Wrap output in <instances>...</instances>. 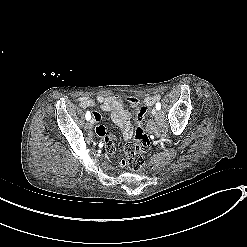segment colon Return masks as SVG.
I'll return each mask as SVG.
<instances>
[{"instance_id": "1", "label": "colon", "mask_w": 247, "mask_h": 247, "mask_svg": "<svg viewBox=\"0 0 247 247\" xmlns=\"http://www.w3.org/2000/svg\"><path fill=\"white\" fill-rule=\"evenodd\" d=\"M146 107L137 108L136 119L138 124L135 128L134 141L125 144V165L131 170H138L143 165L142 152L150 150L151 143L144 129Z\"/></svg>"}]
</instances>
